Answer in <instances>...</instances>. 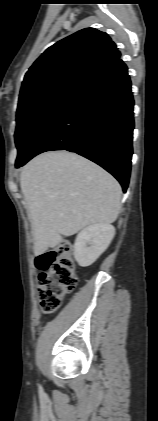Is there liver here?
Listing matches in <instances>:
<instances>
[{
    "label": "liver",
    "mask_w": 158,
    "mask_h": 421,
    "mask_svg": "<svg viewBox=\"0 0 158 421\" xmlns=\"http://www.w3.org/2000/svg\"><path fill=\"white\" fill-rule=\"evenodd\" d=\"M20 186L37 255L56 247L62 235L114 222L121 207L117 180L93 162L67 151L33 158L21 172Z\"/></svg>",
    "instance_id": "liver-1"
}]
</instances>
